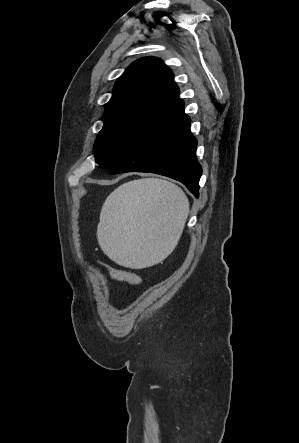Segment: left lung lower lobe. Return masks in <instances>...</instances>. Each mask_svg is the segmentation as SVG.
<instances>
[{
  "label": "left lung lower lobe",
  "mask_w": 299,
  "mask_h": 443,
  "mask_svg": "<svg viewBox=\"0 0 299 443\" xmlns=\"http://www.w3.org/2000/svg\"><path fill=\"white\" fill-rule=\"evenodd\" d=\"M196 146L190 118L178 99L111 167L110 174L151 172L168 176L198 197L202 168L196 159Z\"/></svg>",
  "instance_id": "obj_1"
}]
</instances>
